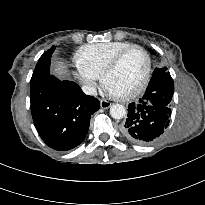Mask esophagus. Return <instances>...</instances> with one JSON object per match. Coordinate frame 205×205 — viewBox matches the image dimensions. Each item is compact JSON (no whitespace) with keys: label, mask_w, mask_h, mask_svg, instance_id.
Masks as SVG:
<instances>
[{"label":"esophagus","mask_w":205,"mask_h":205,"mask_svg":"<svg viewBox=\"0 0 205 205\" xmlns=\"http://www.w3.org/2000/svg\"><path fill=\"white\" fill-rule=\"evenodd\" d=\"M100 106L103 109H107V108H109L111 106V103L109 101H107V100L101 99L100 100Z\"/></svg>","instance_id":"obj_1"}]
</instances>
